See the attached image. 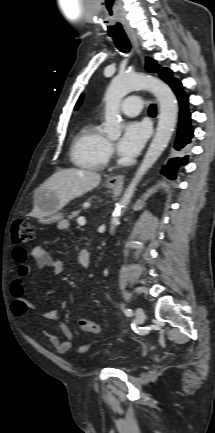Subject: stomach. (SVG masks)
Here are the masks:
<instances>
[{
  "label": "stomach",
  "mask_w": 215,
  "mask_h": 433,
  "mask_svg": "<svg viewBox=\"0 0 215 433\" xmlns=\"http://www.w3.org/2000/svg\"><path fill=\"white\" fill-rule=\"evenodd\" d=\"M107 188L115 189L116 185L107 184ZM34 204L39 209L41 216L38 217L41 224H52L62 220L58 202L54 192L48 189L38 188L34 194Z\"/></svg>",
  "instance_id": "stomach-1"
}]
</instances>
